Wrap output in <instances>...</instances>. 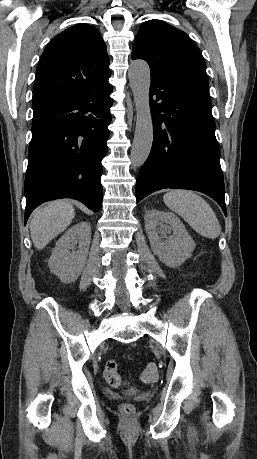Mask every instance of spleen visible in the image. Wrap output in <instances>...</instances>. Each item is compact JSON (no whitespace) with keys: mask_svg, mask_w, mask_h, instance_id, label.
Segmentation results:
<instances>
[{"mask_svg":"<svg viewBox=\"0 0 257 459\" xmlns=\"http://www.w3.org/2000/svg\"><path fill=\"white\" fill-rule=\"evenodd\" d=\"M165 204L180 215L200 235L215 239L221 232L220 223L211 206L189 190H171L163 196Z\"/></svg>","mask_w":257,"mask_h":459,"instance_id":"obj_1","label":"spleen"}]
</instances>
